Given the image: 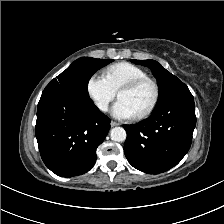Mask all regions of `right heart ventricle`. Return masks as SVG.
<instances>
[{"label":"right heart ventricle","instance_id":"obj_1","mask_svg":"<svg viewBox=\"0 0 224 224\" xmlns=\"http://www.w3.org/2000/svg\"><path fill=\"white\" fill-rule=\"evenodd\" d=\"M104 77L116 92L122 85L129 81L147 77V73L136 65L128 62H120L106 68Z\"/></svg>","mask_w":224,"mask_h":224}]
</instances>
